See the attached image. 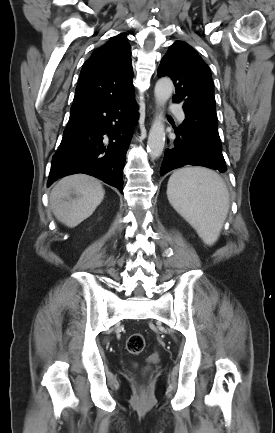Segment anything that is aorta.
<instances>
[{"mask_svg": "<svg viewBox=\"0 0 275 433\" xmlns=\"http://www.w3.org/2000/svg\"><path fill=\"white\" fill-rule=\"evenodd\" d=\"M173 92V82L169 78H161L157 81L154 89V96L158 107L163 106L171 97ZM165 146V128L162 113L157 114L147 142V150L150 157L155 159L162 155Z\"/></svg>", "mask_w": 275, "mask_h": 433, "instance_id": "obj_1", "label": "aorta"}]
</instances>
